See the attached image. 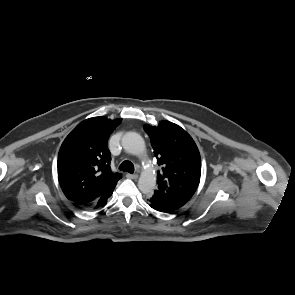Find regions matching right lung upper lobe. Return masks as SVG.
Returning <instances> with one entry per match:
<instances>
[{
  "label": "right lung upper lobe",
  "instance_id": "obj_1",
  "mask_svg": "<svg viewBox=\"0 0 295 295\" xmlns=\"http://www.w3.org/2000/svg\"><path fill=\"white\" fill-rule=\"evenodd\" d=\"M121 119L93 117L82 121L66 137L58 154V179L65 196L86 204L114 186L121 174L110 168L107 141Z\"/></svg>",
  "mask_w": 295,
  "mask_h": 295
}]
</instances>
